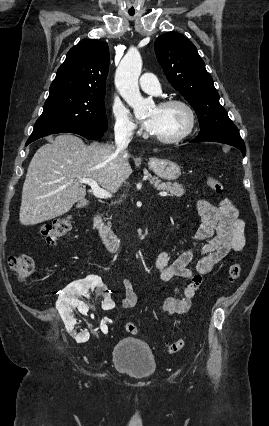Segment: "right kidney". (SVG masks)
<instances>
[{
	"label": "right kidney",
	"mask_w": 269,
	"mask_h": 426,
	"mask_svg": "<svg viewBox=\"0 0 269 426\" xmlns=\"http://www.w3.org/2000/svg\"><path fill=\"white\" fill-rule=\"evenodd\" d=\"M93 288H95L94 291L98 295H106L108 292L107 287L103 286L101 279L97 276H89L86 279L76 282L70 281L68 286H63L61 288L62 294L57 301L56 307L68 332H72L76 324V319L72 314L73 309L78 308L82 311L88 310L87 306L78 298L82 295L89 298V289ZM101 308L106 311H113L115 309V304L110 299V296H106ZM75 338L80 342H85L89 339V334H81L75 336Z\"/></svg>",
	"instance_id": "obj_1"
}]
</instances>
